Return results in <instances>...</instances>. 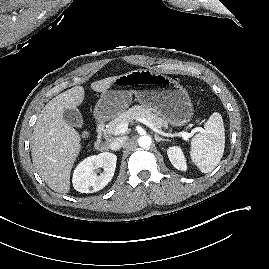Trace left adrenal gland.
Returning <instances> with one entry per match:
<instances>
[{"label":"left adrenal gland","instance_id":"1","mask_svg":"<svg viewBox=\"0 0 269 269\" xmlns=\"http://www.w3.org/2000/svg\"><path fill=\"white\" fill-rule=\"evenodd\" d=\"M155 140H156V142L168 141L167 139H163V138L159 137L158 135H155Z\"/></svg>","mask_w":269,"mask_h":269}]
</instances>
